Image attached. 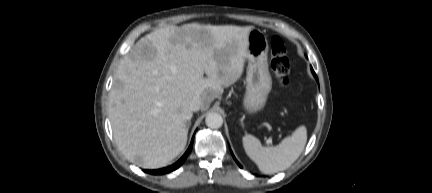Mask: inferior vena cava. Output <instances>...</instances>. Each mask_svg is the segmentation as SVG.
I'll list each match as a JSON object with an SVG mask.
<instances>
[{
  "label": "inferior vena cava",
  "instance_id": "602c4592",
  "mask_svg": "<svg viewBox=\"0 0 432 193\" xmlns=\"http://www.w3.org/2000/svg\"><path fill=\"white\" fill-rule=\"evenodd\" d=\"M190 110L191 111H198L201 109L202 107V100L199 96H195L192 98L191 102H190Z\"/></svg>",
  "mask_w": 432,
  "mask_h": 193
}]
</instances>
